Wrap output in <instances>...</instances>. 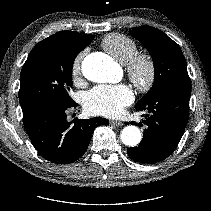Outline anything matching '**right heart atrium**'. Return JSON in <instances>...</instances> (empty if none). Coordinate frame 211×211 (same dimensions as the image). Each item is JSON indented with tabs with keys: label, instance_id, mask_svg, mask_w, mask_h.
<instances>
[{
	"label": "right heart atrium",
	"instance_id": "right-heart-atrium-1",
	"mask_svg": "<svg viewBox=\"0 0 211 211\" xmlns=\"http://www.w3.org/2000/svg\"><path fill=\"white\" fill-rule=\"evenodd\" d=\"M86 55V50L80 51L73 59L71 65V73L75 82L80 79L82 61Z\"/></svg>",
	"mask_w": 211,
	"mask_h": 211
}]
</instances>
